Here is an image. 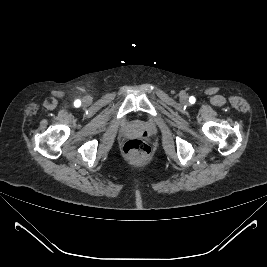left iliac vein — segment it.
Wrapping results in <instances>:
<instances>
[{"mask_svg":"<svg viewBox=\"0 0 267 267\" xmlns=\"http://www.w3.org/2000/svg\"><path fill=\"white\" fill-rule=\"evenodd\" d=\"M180 100L182 103H187L188 102V97L185 94H181Z\"/></svg>","mask_w":267,"mask_h":267,"instance_id":"obj_1","label":"left iliac vein"}]
</instances>
